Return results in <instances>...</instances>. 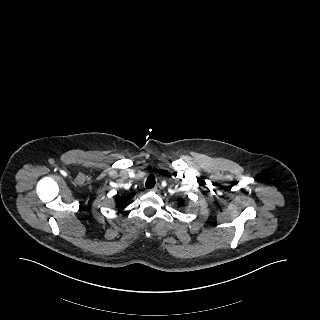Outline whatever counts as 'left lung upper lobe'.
<instances>
[{
  "label": "left lung upper lobe",
  "instance_id": "left-lung-upper-lobe-1",
  "mask_svg": "<svg viewBox=\"0 0 320 320\" xmlns=\"http://www.w3.org/2000/svg\"><path fill=\"white\" fill-rule=\"evenodd\" d=\"M178 203H179L180 206H183L184 205V200H179Z\"/></svg>",
  "mask_w": 320,
  "mask_h": 320
}]
</instances>
